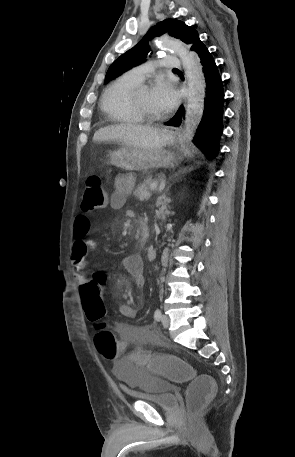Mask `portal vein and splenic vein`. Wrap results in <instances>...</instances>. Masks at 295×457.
I'll list each match as a JSON object with an SVG mask.
<instances>
[{"mask_svg": "<svg viewBox=\"0 0 295 457\" xmlns=\"http://www.w3.org/2000/svg\"><path fill=\"white\" fill-rule=\"evenodd\" d=\"M157 186H158V184L156 182H154L150 185V189L155 190L157 188Z\"/></svg>", "mask_w": 295, "mask_h": 457, "instance_id": "portal-vein-and-splenic-vein-1", "label": "portal vein and splenic vein"}]
</instances>
